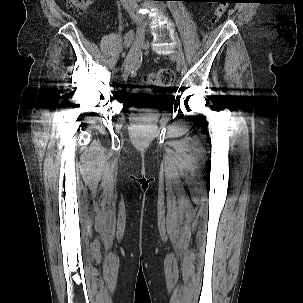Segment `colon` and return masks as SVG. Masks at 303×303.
<instances>
[{
    "label": "colon",
    "instance_id": "5ec220e1",
    "mask_svg": "<svg viewBox=\"0 0 303 303\" xmlns=\"http://www.w3.org/2000/svg\"><path fill=\"white\" fill-rule=\"evenodd\" d=\"M93 0H67L68 8L74 13H81L85 11ZM227 4L220 3L214 11L212 22L216 23L222 17L226 10ZM174 74L168 68H162L158 71L151 72L144 77V84L160 88H166L173 84Z\"/></svg>",
    "mask_w": 303,
    "mask_h": 303
}]
</instances>
